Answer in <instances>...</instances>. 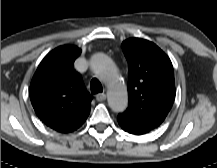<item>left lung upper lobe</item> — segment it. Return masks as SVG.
<instances>
[{
  "instance_id": "obj_1",
  "label": "left lung upper lobe",
  "mask_w": 217,
  "mask_h": 168,
  "mask_svg": "<svg viewBox=\"0 0 217 168\" xmlns=\"http://www.w3.org/2000/svg\"><path fill=\"white\" fill-rule=\"evenodd\" d=\"M128 62V108L118 118L149 132L167 117L174 99L173 66L168 56L154 43L130 38L122 43Z\"/></svg>"
}]
</instances>
